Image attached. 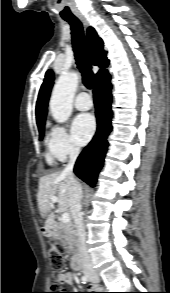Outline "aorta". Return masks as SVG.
Segmentation results:
<instances>
[{
    "instance_id": "obj_1",
    "label": "aorta",
    "mask_w": 170,
    "mask_h": 293,
    "mask_svg": "<svg viewBox=\"0 0 170 293\" xmlns=\"http://www.w3.org/2000/svg\"><path fill=\"white\" fill-rule=\"evenodd\" d=\"M79 79L76 72L61 75L53 88L49 107L52 117L59 123L67 121L72 114V102Z\"/></svg>"
}]
</instances>
